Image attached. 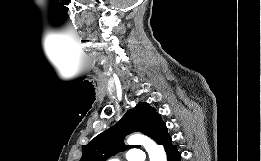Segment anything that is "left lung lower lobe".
I'll return each instance as SVG.
<instances>
[{
  "label": "left lung lower lobe",
  "mask_w": 261,
  "mask_h": 161,
  "mask_svg": "<svg viewBox=\"0 0 261 161\" xmlns=\"http://www.w3.org/2000/svg\"><path fill=\"white\" fill-rule=\"evenodd\" d=\"M159 144L164 146L168 161H180L181 155L177 151V146L172 144L170 135L166 136Z\"/></svg>",
  "instance_id": "left-lung-lower-lobe-1"
}]
</instances>
